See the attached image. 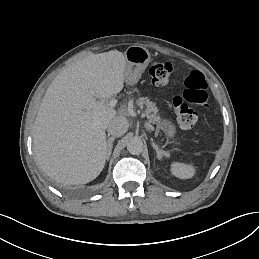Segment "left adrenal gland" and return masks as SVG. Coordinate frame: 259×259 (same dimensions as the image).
<instances>
[{
	"mask_svg": "<svg viewBox=\"0 0 259 259\" xmlns=\"http://www.w3.org/2000/svg\"><path fill=\"white\" fill-rule=\"evenodd\" d=\"M151 145L156 150L158 159H161L163 156L170 157L169 151L159 149V147L153 141L151 142Z\"/></svg>",
	"mask_w": 259,
	"mask_h": 259,
	"instance_id": "a2214340",
	"label": "left adrenal gland"
}]
</instances>
